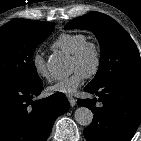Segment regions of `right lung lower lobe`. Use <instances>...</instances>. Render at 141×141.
<instances>
[{"label": "right lung lower lobe", "mask_w": 141, "mask_h": 141, "mask_svg": "<svg viewBox=\"0 0 141 141\" xmlns=\"http://www.w3.org/2000/svg\"><path fill=\"white\" fill-rule=\"evenodd\" d=\"M42 89L41 80L0 83V141H46L55 119L70 105L61 92L33 101Z\"/></svg>", "instance_id": "obj_1"}]
</instances>
